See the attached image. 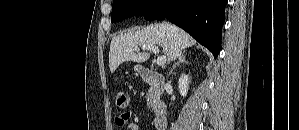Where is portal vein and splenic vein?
I'll return each mask as SVG.
<instances>
[{
  "label": "portal vein and splenic vein",
  "instance_id": "1",
  "mask_svg": "<svg viewBox=\"0 0 299 130\" xmlns=\"http://www.w3.org/2000/svg\"><path fill=\"white\" fill-rule=\"evenodd\" d=\"M141 48H142V50H150V51H152L154 53H159V48H158V46H155V45H145V46H142ZM134 50L135 51H139L140 48L139 47H135ZM166 60H167V58H166L165 55L159 56L157 58L156 63H157V65L161 66V65L165 64Z\"/></svg>",
  "mask_w": 299,
  "mask_h": 130
}]
</instances>
